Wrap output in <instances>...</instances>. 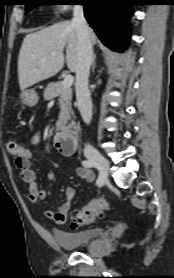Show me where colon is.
Returning a JSON list of instances; mask_svg holds the SVG:
<instances>
[{"instance_id": "obj_1", "label": "colon", "mask_w": 174, "mask_h": 278, "mask_svg": "<svg viewBox=\"0 0 174 278\" xmlns=\"http://www.w3.org/2000/svg\"><path fill=\"white\" fill-rule=\"evenodd\" d=\"M8 151L16 158H32V150L17 143H9L7 145ZM108 209V203L104 198H96L90 200L86 205L77 208L73 211L71 219V227L76 228L83 224L93 222L95 219L101 217Z\"/></svg>"}]
</instances>
